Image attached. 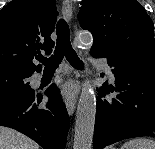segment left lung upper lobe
<instances>
[{
	"mask_svg": "<svg viewBox=\"0 0 155 149\" xmlns=\"http://www.w3.org/2000/svg\"><path fill=\"white\" fill-rule=\"evenodd\" d=\"M78 19L93 35L91 50L155 53L154 24L136 0H83Z\"/></svg>",
	"mask_w": 155,
	"mask_h": 149,
	"instance_id": "obj_1",
	"label": "left lung upper lobe"
}]
</instances>
